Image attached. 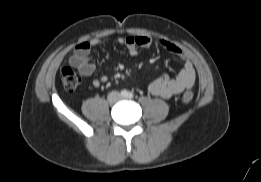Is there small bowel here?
<instances>
[{"mask_svg":"<svg viewBox=\"0 0 261 182\" xmlns=\"http://www.w3.org/2000/svg\"><path fill=\"white\" fill-rule=\"evenodd\" d=\"M106 42V39L95 38L78 43L69 58L70 66L83 76H92L95 72V65L90 56L91 48ZM117 42L125 46L131 56L138 55L140 49L149 48L156 43L155 40L146 36L120 37ZM158 43L171 54L180 58L183 62V68L175 77H169L167 74L161 75L150 83L148 90L154 96L171 98L194 85L196 78L195 68L189 55L180 46L169 40H159ZM107 81L108 77L103 75L94 78L92 84L95 87H99Z\"/></svg>","mask_w":261,"mask_h":182,"instance_id":"small-bowel-1","label":"small bowel"}]
</instances>
